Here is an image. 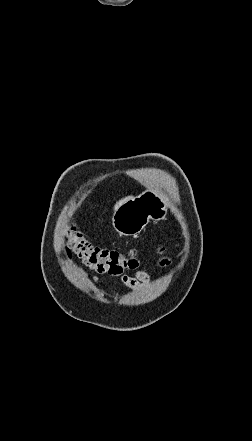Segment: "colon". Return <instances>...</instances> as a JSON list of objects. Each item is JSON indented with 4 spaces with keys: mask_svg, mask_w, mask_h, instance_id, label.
<instances>
[{
    "mask_svg": "<svg viewBox=\"0 0 252 441\" xmlns=\"http://www.w3.org/2000/svg\"><path fill=\"white\" fill-rule=\"evenodd\" d=\"M71 247L70 249L85 262L91 269L98 273H107L110 275H120L126 269H134L139 265V260L135 250L128 253L118 250L101 248L92 245L81 233L71 228L69 233ZM162 248L160 251L163 252ZM169 264L167 258L160 261V265Z\"/></svg>",
    "mask_w": 252,
    "mask_h": 441,
    "instance_id": "5ec220e1",
    "label": "colon"
}]
</instances>
